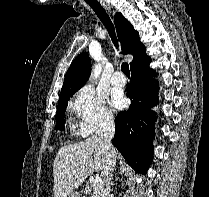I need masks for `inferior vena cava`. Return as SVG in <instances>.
<instances>
[{
	"label": "inferior vena cava",
	"mask_w": 209,
	"mask_h": 197,
	"mask_svg": "<svg viewBox=\"0 0 209 197\" xmlns=\"http://www.w3.org/2000/svg\"><path fill=\"white\" fill-rule=\"evenodd\" d=\"M96 134L102 140L106 149V164L102 171L103 182L100 197H110L112 176L116 165V150L111 142L115 134V124L112 116L104 118Z\"/></svg>",
	"instance_id": "1"
}]
</instances>
